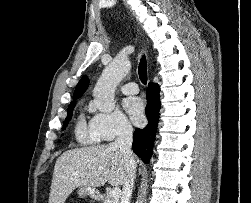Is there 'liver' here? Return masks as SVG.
I'll list each match as a JSON object with an SVG mask.
<instances>
[{
  "label": "liver",
  "instance_id": "6515ba94",
  "mask_svg": "<svg viewBox=\"0 0 251 203\" xmlns=\"http://www.w3.org/2000/svg\"><path fill=\"white\" fill-rule=\"evenodd\" d=\"M125 179L124 157L112 144L68 150L55 163L49 203H64L78 187L122 186Z\"/></svg>",
  "mask_w": 251,
  "mask_h": 203
}]
</instances>
